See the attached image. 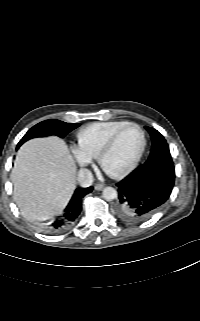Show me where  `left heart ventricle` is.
<instances>
[{"mask_svg": "<svg viewBox=\"0 0 200 321\" xmlns=\"http://www.w3.org/2000/svg\"><path fill=\"white\" fill-rule=\"evenodd\" d=\"M140 145V131L135 127L126 129L104 157V169L109 173H119L125 170L136 156Z\"/></svg>", "mask_w": 200, "mask_h": 321, "instance_id": "left-heart-ventricle-1", "label": "left heart ventricle"}]
</instances>
